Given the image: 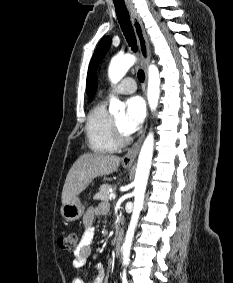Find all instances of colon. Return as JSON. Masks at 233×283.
<instances>
[{
	"mask_svg": "<svg viewBox=\"0 0 233 283\" xmlns=\"http://www.w3.org/2000/svg\"><path fill=\"white\" fill-rule=\"evenodd\" d=\"M78 234L76 231H70L62 235L58 239V245L60 248L67 251H74L77 246Z\"/></svg>",
	"mask_w": 233,
	"mask_h": 283,
	"instance_id": "obj_1",
	"label": "colon"
}]
</instances>
